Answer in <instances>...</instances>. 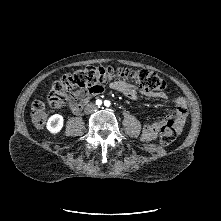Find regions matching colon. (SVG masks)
Wrapping results in <instances>:
<instances>
[{
    "instance_id": "1",
    "label": "colon",
    "mask_w": 221,
    "mask_h": 221,
    "mask_svg": "<svg viewBox=\"0 0 221 221\" xmlns=\"http://www.w3.org/2000/svg\"><path fill=\"white\" fill-rule=\"evenodd\" d=\"M118 80L129 83L145 92H158L165 88V81L148 70H135L128 67L90 66L71 74L63 75L55 81L47 96L53 108L63 107L70 95L77 90L97 91L104 83ZM47 120L46 105L37 100L31 107L32 124L41 128ZM177 137L173 120H168L161 128L160 144L169 146Z\"/></svg>"
}]
</instances>
